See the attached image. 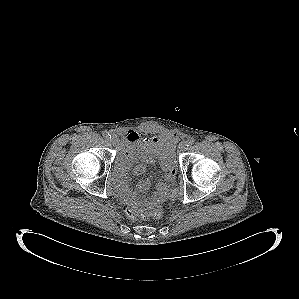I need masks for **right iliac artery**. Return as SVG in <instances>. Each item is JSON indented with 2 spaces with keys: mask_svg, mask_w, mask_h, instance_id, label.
Wrapping results in <instances>:
<instances>
[{
  "mask_svg": "<svg viewBox=\"0 0 299 299\" xmlns=\"http://www.w3.org/2000/svg\"><path fill=\"white\" fill-rule=\"evenodd\" d=\"M103 136H104L106 139L111 138V135H110L108 132H104V133H103Z\"/></svg>",
  "mask_w": 299,
  "mask_h": 299,
  "instance_id": "82829eb1",
  "label": "right iliac artery"
}]
</instances>
